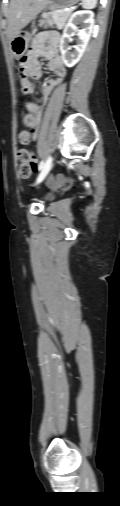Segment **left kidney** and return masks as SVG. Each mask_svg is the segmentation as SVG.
Returning a JSON list of instances; mask_svg holds the SVG:
<instances>
[{"label":"left kidney","instance_id":"obj_1","mask_svg":"<svg viewBox=\"0 0 120 506\" xmlns=\"http://www.w3.org/2000/svg\"><path fill=\"white\" fill-rule=\"evenodd\" d=\"M77 24L82 25V29H78ZM94 28V18L91 11H77L72 14L67 25L63 30V35L60 39L59 49L61 51L63 63L67 67H73L81 59L87 44L90 40ZM76 31L78 36L77 45L74 46V51L69 52L68 42L71 39V34Z\"/></svg>","mask_w":120,"mask_h":506}]
</instances>
